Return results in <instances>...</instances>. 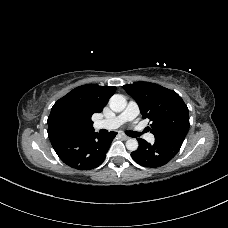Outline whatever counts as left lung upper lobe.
<instances>
[{"mask_svg": "<svg viewBox=\"0 0 228 228\" xmlns=\"http://www.w3.org/2000/svg\"><path fill=\"white\" fill-rule=\"evenodd\" d=\"M123 88L135 99L143 118L152 121L155 138L185 139L190 125L188 108L175 91L149 82L126 84Z\"/></svg>", "mask_w": 228, "mask_h": 228, "instance_id": "obj_1", "label": "left lung upper lobe"}]
</instances>
